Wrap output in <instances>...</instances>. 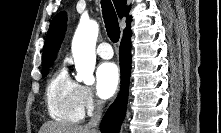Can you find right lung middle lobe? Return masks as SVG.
I'll return each instance as SVG.
<instances>
[{"instance_id": "right-lung-middle-lobe-1", "label": "right lung middle lobe", "mask_w": 221, "mask_h": 133, "mask_svg": "<svg viewBox=\"0 0 221 133\" xmlns=\"http://www.w3.org/2000/svg\"><path fill=\"white\" fill-rule=\"evenodd\" d=\"M52 66V63L50 64H46L42 66V76L46 77L48 72H49V68Z\"/></svg>"}]
</instances>
